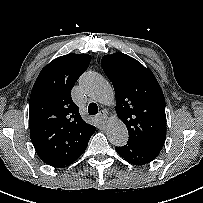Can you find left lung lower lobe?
Segmentation results:
<instances>
[{
    "mask_svg": "<svg viewBox=\"0 0 203 203\" xmlns=\"http://www.w3.org/2000/svg\"><path fill=\"white\" fill-rule=\"evenodd\" d=\"M117 153L133 165H144L153 161L160 152L128 140L122 147H115Z\"/></svg>",
    "mask_w": 203,
    "mask_h": 203,
    "instance_id": "left-lung-lower-lobe-1",
    "label": "left lung lower lobe"
}]
</instances>
